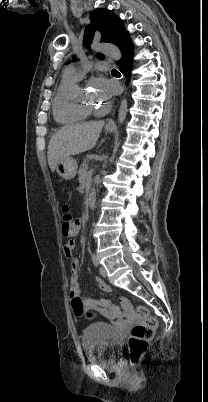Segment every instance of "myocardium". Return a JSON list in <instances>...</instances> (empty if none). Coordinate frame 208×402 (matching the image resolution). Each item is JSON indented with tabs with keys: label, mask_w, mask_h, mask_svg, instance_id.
Masks as SVG:
<instances>
[{
	"label": "myocardium",
	"mask_w": 208,
	"mask_h": 402,
	"mask_svg": "<svg viewBox=\"0 0 208 402\" xmlns=\"http://www.w3.org/2000/svg\"><path fill=\"white\" fill-rule=\"evenodd\" d=\"M84 98V88L78 86L72 96H71V106L72 108L82 115H88L96 110L95 104L87 105L83 101Z\"/></svg>",
	"instance_id": "obj_1"
}]
</instances>
